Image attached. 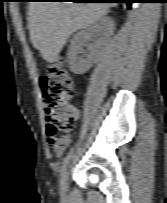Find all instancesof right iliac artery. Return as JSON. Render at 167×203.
Returning a JSON list of instances; mask_svg holds the SVG:
<instances>
[{"mask_svg": "<svg viewBox=\"0 0 167 203\" xmlns=\"http://www.w3.org/2000/svg\"><path fill=\"white\" fill-rule=\"evenodd\" d=\"M72 154H73V149L70 150V152L67 154V156L64 158L63 160V164L61 166V170H60V175L62 176L68 166V163L72 157Z\"/></svg>", "mask_w": 167, "mask_h": 203, "instance_id": "right-iliac-artery-1", "label": "right iliac artery"}]
</instances>
